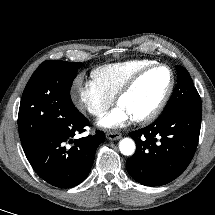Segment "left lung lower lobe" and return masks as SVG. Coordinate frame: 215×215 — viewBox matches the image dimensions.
<instances>
[{
    "instance_id": "left-lung-lower-lobe-1",
    "label": "left lung lower lobe",
    "mask_w": 215,
    "mask_h": 215,
    "mask_svg": "<svg viewBox=\"0 0 215 215\" xmlns=\"http://www.w3.org/2000/svg\"><path fill=\"white\" fill-rule=\"evenodd\" d=\"M200 127L201 113L173 110L162 113L151 125L130 132L137 147L126 161L129 174L146 186L173 181L192 160Z\"/></svg>"
}]
</instances>
